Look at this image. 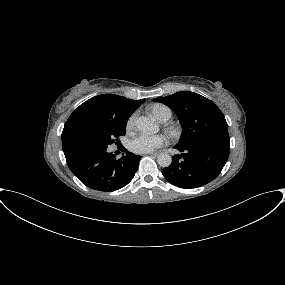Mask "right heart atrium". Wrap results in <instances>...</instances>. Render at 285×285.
Returning a JSON list of instances; mask_svg holds the SVG:
<instances>
[{
    "instance_id": "d8ad5b80",
    "label": "right heart atrium",
    "mask_w": 285,
    "mask_h": 285,
    "mask_svg": "<svg viewBox=\"0 0 285 285\" xmlns=\"http://www.w3.org/2000/svg\"><path fill=\"white\" fill-rule=\"evenodd\" d=\"M135 115H132L127 121V129H132L135 125Z\"/></svg>"
}]
</instances>
